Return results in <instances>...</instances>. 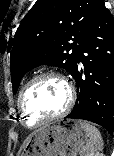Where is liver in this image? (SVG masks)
Here are the masks:
<instances>
[{
  "label": "liver",
  "instance_id": "liver-1",
  "mask_svg": "<svg viewBox=\"0 0 114 156\" xmlns=\"http://www.w3.org/2000/svg\"><path fill=\"white\" fill-rule=\"evenodd\" d=\"M30 137H31V136H30ZM30 137L26 139V141L24 142V144H23L22 148H24V147H25V145H26V144H27V142L29 141Z\"/></svg>",
  "mask_w": 114,
  "mask_h": 156
}]
</instances>
